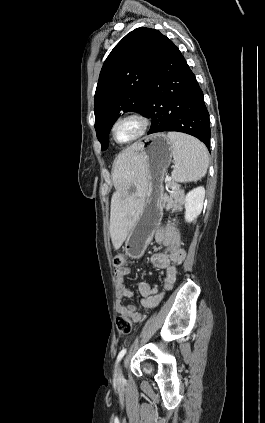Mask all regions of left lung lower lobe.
Returning <instances> with one entry per match:
<instances>
[{
  "mask_svg": "<svg viewBox=\"0 0 265 423\" xmlns=\"http://www.w3.org/2000/svg\"><path fill=\"white\" fill-rule=\"evenodd\" d=\"M142 115L152 119L149 134L177 131L210 148V122L203 92L179 49L165 37L144 95Z\"/></svg>",
  "mask_w": 265,
  "mask_h": 423,
  "instance_id": "1",
  "label": "left lung lower lobe"
}]
</instances>
